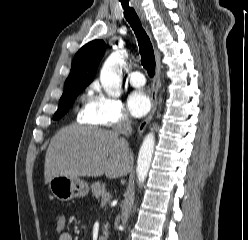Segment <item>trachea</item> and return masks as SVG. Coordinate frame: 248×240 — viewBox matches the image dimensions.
I'll list each match as a JSON object with an SVG mask.
<instances>
[{
	"label": "trachea",
	"instance_id": "3493384b",
	"mask_svg": "<svg viewBox=\"0 0 248 240\" xmlns=\"http://www.w3.org/2000/svg\"><path fill=\"white\" fill-rule=\"evenodd\" d=\"M121 4L124 9V16L137 37L141 55V63L147 70L149 76L153 77L155 74V56L149 36L145 32L135 10L129 6L128 1H121Z\"/></svg>",
	"mask_w": 248,
	"mask_h": 240
}]
</instances>
